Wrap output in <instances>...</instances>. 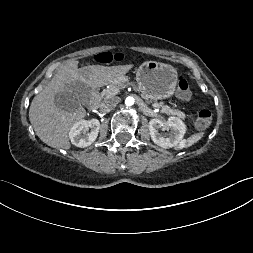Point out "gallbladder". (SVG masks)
<instances>
[{"mask_svg":"<svg viewBox=\"0 0 253 253\" xmlns=\"http://www.w3.org/2000/svg\"><path fill=\"white\" fill-rule=\"evenodd\" d=\"M90 101V91L87 85L77 81L70 85L64 92H59L54 97L55 105L67 112H73L79 104H87Z\"/></svg>","mask_w":253,"mask_h":253,"instance_id":"1","label":"gallbladder"}]
</instances>
